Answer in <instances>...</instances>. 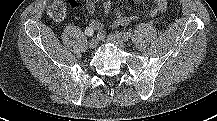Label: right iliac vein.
<instances>
[{
	"label": "right iliac vein",
	"instance_id": "63e3f726",
	"mask_svg": "<svg viewBox=\"0 0 217 121\" xmlns=\"http://www.w3.org/2000/svg\"><path fill=\"white\" fill-rule=\"evenodd\" d=\"M97 45H98V39H96V38H92L88 43V46L90 49L96 48Z\"/></svg>",
	"mask_w": 217,
	"mask_h": 121
}]
</instances>
